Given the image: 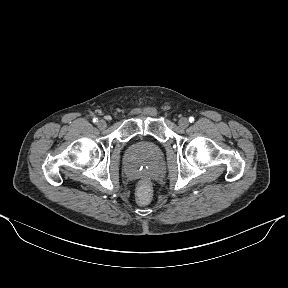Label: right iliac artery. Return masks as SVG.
Here are the masks:
<instances>
[{"label":"right iliac artery","mask_w":288,"mask_h":288,"mask_svg":"<svg viewBox=\"0 0 288 288\" xmlns=\"http://www.w3.org/2000/svg\"><path fill=\"white\" fill-rule=\"evenodd\" d=\"M93 122H94V123H97V122H98V119H97V118H94V119H93Z\"/></svg>","instance_id":"right-iliac-artery-1"}]
</instances>
